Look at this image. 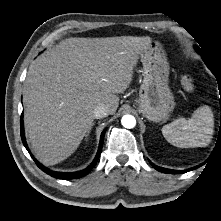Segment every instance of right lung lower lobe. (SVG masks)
<instances>
[{"label":"right lung lower lobe","instance_id":"obj_1","mask_svg":"<svg viewBox=\"0 0 221 221\" xmlns=\"http://www.w3.org/2000/svg\"><path fill=\"white\" fill-rule=\"evenodd\" d=\"M20 128H21V138H22V142L25 146V148L28 150V152L30 153L27 143L25 141V136H24V129H23V120L21 118V122H20ZM106 129L102 132L101 134V139H100V144H99V149L97 152V155L95 157V159L93 160V162L90 164L89 167H87L84 170L78 171V172H73V173H66V172H55V171H51L50 169L44 167L42 164H40L30 153L31 157L33 158V160L36 162L37 166L43 170L45 173H47L48 175L58 178V179H76V178H80L83 177L85 175H87L95 166V164L98 161V158L101 154L102 151V146H103V141H104V135H105Z\"/></svg>","mask_w":221,"mask_h":221}]
</instances>
